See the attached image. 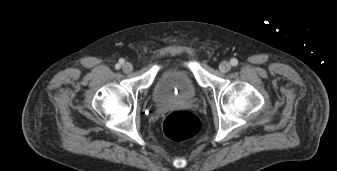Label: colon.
Returning <instances> with one entry per match:
<instances>
[{
    "instance_id": "1",
    "label": "colon",
    "mask_w": 337,
    "mask_h": 171,
    "mask_svg": "<svg viewBox=\"0 0 337 171\" xmlns=\"http://www.w3.org/2000/svg\"><path fill=\"white\" fill-rule=\"evenodd\" d=\"M201 123L199 118L185 110H176L169 113L163 120L162 131L164 135L175 141L191 138L199 133Z\"/></svg>"
}]
</instances>
